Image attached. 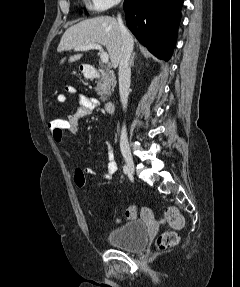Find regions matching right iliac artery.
<instances>
[{"mask_svg": "<svg viewBox=\"0 0 240 287\" xmlns=\"http://www.w3.org/2000/svg\"><path fill=\"white\" fill-rule=\"evenodd\" d=\"M123 172H124L125 174H127V173L129 172L127 166H124V167H123Z\"/></svg>", "mask_w": 240, "mask_h": 287, "instance_id": "obj_1", "label": "right iliac artery"}]
</instances>
